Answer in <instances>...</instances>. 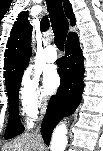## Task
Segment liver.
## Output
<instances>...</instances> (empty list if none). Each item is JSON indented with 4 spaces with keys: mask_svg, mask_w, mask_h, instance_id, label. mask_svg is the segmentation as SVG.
<instances>
[{
    "mask_svg": "<svg viewBox=\"0 0 103 151\" xmlns=\"http://www.w3.org/2000/svg\"><path fill=\"white\" fill-rule=\"evenodd\" d=\"M43 142L40 135L23 134L13 142L5 144L1 151H42Z\"/></svg>",
    "mask_w": 103,
    "mask_h": 151,
    "instance_id": "liver-1",
    "label": "liver"
}]
</instances>
